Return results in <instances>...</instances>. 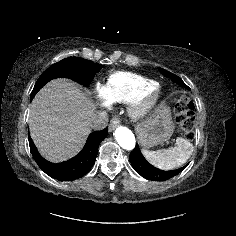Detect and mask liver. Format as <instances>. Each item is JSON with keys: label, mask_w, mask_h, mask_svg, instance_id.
<instances>
[{"label": "liver", "mask_w": 236, "mask_h": 236, "mask_svg": "<svg viewBox=\"0 0 236 236\" xmlns=\"http://www.w3.org/2000/svg\"><path fill=\"white\" fill-rule=\"evenodd\" d=\"M94 104L67 79L46 84L30 106L28 124L33 142L52 162L77 154L91 131Z\"/></svg>", "instance_id": "6515ba94"}]
</instances>
